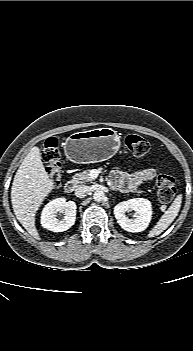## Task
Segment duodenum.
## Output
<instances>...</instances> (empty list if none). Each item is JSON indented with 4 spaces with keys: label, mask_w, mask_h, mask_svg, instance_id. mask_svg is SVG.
Listing matches in <instances>:
<instances>
[{
    "label": "duodenum",
    "mask_w": 193,
    "mask_h": 351,
    "mask_svg": "<svg viewBox=\"0 0 193 351\" xmlns=\"http://www.w3.org/2000/svg\"><path fill=\"white\" fill-rule=\"evenodd\" d=\"M64 188H65V191L67 193H71L74 191L75 184L73 182L69 181L65 184Z\"/></svg>",
    "instance_id": "duodenum-1"
}]
</instances>
